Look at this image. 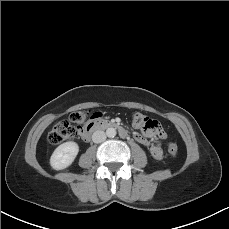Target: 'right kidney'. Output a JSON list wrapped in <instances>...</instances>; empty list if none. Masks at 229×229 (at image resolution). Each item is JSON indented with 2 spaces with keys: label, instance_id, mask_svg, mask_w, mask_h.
Segmentation results:
<instances>
[{
  "label": "right kidney",
  "instance_id": "1",
  "mask_svg": "<svg viewBox=\"0 0 229 229\" xmlns=\"http://www.w3.org/2000/svg\"><path fill=\"white\" fill-rule=\"evenodd\" d=\"M79 152L76 142L69 141L59 145L50 158V165L55 170H62L69 167Z\"/></svg>",
  "mask_w": 229,
  "mask_h": 229
}]
</instances>
